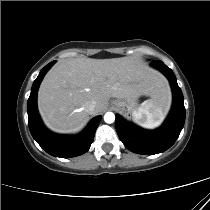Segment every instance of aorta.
<instances>
[{"label":"aorta","mask_w":210,"mask_h":210,"mask_svg":"<svg viewBox=\"0 0 210 210\" xmlns=\"http://www.w3.org/2000/svg\"><path fill=\"white\" fill-rule=\"evenodd\" d=\"M104 121L108 124H111L115 121V115L114 113L112 112H107L105 115H104Z\"/></svg>","instance_id":"1"}]
</instances>
